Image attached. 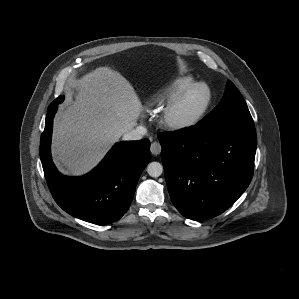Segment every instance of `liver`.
Listing matches in <instances>:
<instances>
[{"instance_id": "1", "label": "liver", "mask_w": 299, "mask_h": 299, "mask_svg": "<svg viewBox=\"0 0 299 299\" xmlns=\"http://www.w3.org/2000/svg\"><path fill=\"white\" fill-rule=\"evenodd\" d=\"M74 99L54 122L52 154L64 174L82 175L132 130L143 109L131 83L109 66L72 81Z\"/></svg>"}]
</instances>
